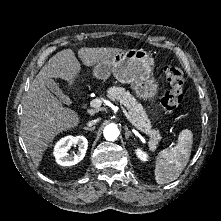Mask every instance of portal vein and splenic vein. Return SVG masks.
Listing matches in <instances>:
<instances>
[{"instance_id": "portal-vein-and-splenic-vein-1", "label": "portal vein and splenic vein", "mask_w": 221, "mask_h": 221, "mask_svg": "<svg viewBox=\"0 0 221 221\" xmlns=\"http://www.w3.org/2000/svg\"><path fill=\"white\" fill-rule=\"evenodd\" d=\"M102 105V101L100 99H93L92 101H90V107L91 108H98ZM121 109L124 113V115L126 116V118L129 120V122L134 125L139 131H141L142 133H144L145 135L149 136L150 138H152V136L144 131L143 129H141L138 125L135 124V122L133 121V119L131 118V116L129 115V113L126 111V109L121 106ZM174 145V143L172 142V144L170 146Z\"/></svg>"}]
</instances>
